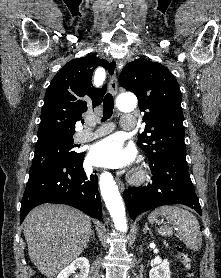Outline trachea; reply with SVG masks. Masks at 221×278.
Instances as JSON below:
<instances>
[{
  "mask_svg": "<svg viewBox=\"0 0 221 278\" xmlns=\"http://www.w3.org/2000/svg\"><path fill=\"white\" fill-rule=\"evenodd\" d=\"M114 109V100L113 96L110 93H107L103 99V118L102 122L110 119L113 114Z\"/></svg>",
  "mask_w": 221,
  "mask_h": 278,
  "instance_id": "obj_1",
  "label": "trachea"
}]
</instances>
